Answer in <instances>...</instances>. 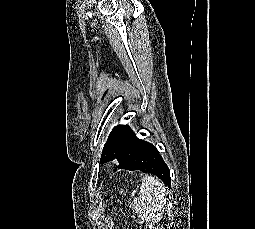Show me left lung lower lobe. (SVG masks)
<instances>
[{"instance_id":"1","label":"left lung lower lobe","mask_w":255,"mask_h":229,"mask_svg":"<svg viewBox=\"0 0 255 229\" xmlns=\"http://www.w3.org/2000/svg\"><path fill=\"white\" fill-rule=\"evenodd\" d=\"M113 130L124 134L129 140L124 152L117 157L118 169L140 170L154 174L170 188V170L158 150L151 143L137 138L126 125H118Z\"/></svg>"}]
</instances>
